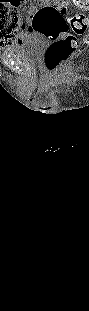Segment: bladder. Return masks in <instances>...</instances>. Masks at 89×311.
<instances>
[{
	"mask_svg": "<svg viewBox=\"0 0 89 311\" xmlns=\"http://www.w3.org/2000/svg\"><path fill=\"white\" fill-rule=\"evenodd\" d=\"M10 49L27 61H35L42 54L43 43L27 36L22 42L11 44Z\"/></svg>",
	"mask_w": 89,
	"mask_h": 311,
	"instance_id": "31cf9c89",
	"label": "bladder"
}]
</instances>
